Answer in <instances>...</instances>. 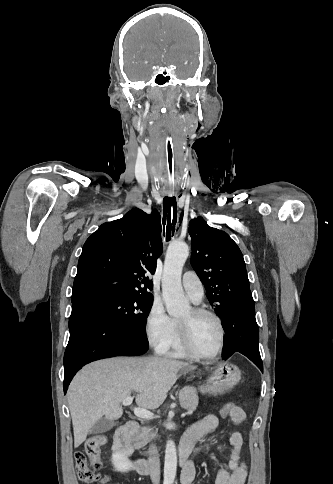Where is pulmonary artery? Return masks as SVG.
I'll return each mask as SVG.
<instances>
[{"label":"pulmonary artery","mask_w":333,"mask_h":484,"mask_svg":"<svg viewBox=\"0 0 333 484\" xmlns=\"http://www.w3.org/2000/svg\"><path fill=\"white\" fill-rule=\"evenodd\" d=\"M182 285L188 294L189 298L194 303L201 302L204 295L203 284L199 277L193 271H187L182 277Z\"/></svg>","instance_id":"pulmonary-artery-1"}]
</instances>
